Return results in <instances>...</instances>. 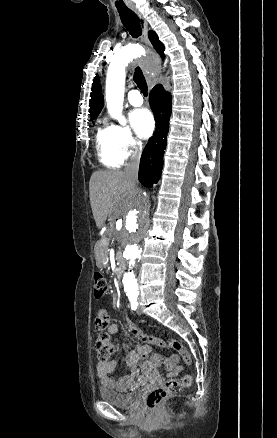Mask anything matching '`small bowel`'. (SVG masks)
Returning a JSON list of instances; mask_svg holds the SVG:
<instances>
[{
	"label": "small bowel",
	"instance_id": "small-bowel-1",
	"mask_svg": "<svg viewBox=\"0 0 277 438\" xmlns=\"http://www.w3.org/2000/svg\"><path fill=\"white\" fill-rule=\"evenodd\" d=\"M107 331L110 334H118L119 327L116 323H112L108 326ZM139 328L136 325H130L127 327L128 333L136 334ZM138 340L144 341L147 338L146 333L140 332L137 335ZM150 353L149 346L138 345L134 349L128 351L126 355V364L130 369L129 375L113 376L112 374L116 370V361H100L97 363V377L100 382L108 387L115 388L119 391L125 392L131 389L138 378L141 377L137 370V366L140 363L141 372L148 375L149 372L156 367L157 364L162 363L165 369L166 377L170 378L182 371V367L178 364V358L176 356L162 357L160 355L153 356L150 360L143 361Z\"/></svg>",
	"mask_w": 277,
	"mask_h": 438
}]
</instances>
